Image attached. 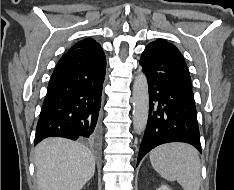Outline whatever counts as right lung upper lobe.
<instances>
[{
  "label": "right lung upper lobe",
  "instance_id": "cb5924a9",
  "mask_svg": "<svg viewBox=\"0 0 234 190\" xmlns=\"http://www.w3.org/2000/svg\"><path fill=\"white\" fill-rule=\"evenodd\" d=\"M90 47H100V45L91 38H86L84 40L79 41L78 43L74 44L68 52L84 49V48H90Z\"/></svg>",
  "mask_w": 234,
  "mask_h": 190
}]
</instances>
